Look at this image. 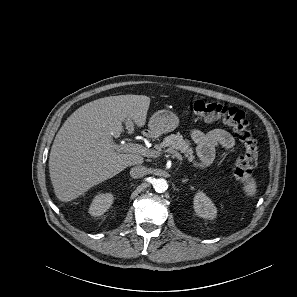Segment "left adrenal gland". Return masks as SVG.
Masks as SVG:
<instances>
[{"mask_svg":"<svg viewBox=\"0 0 297 297\" xmlns=\"http://www.w3.org/2000/svg\"><path fill=\"white\" fill-rule=\"evenodd\" d=\"M188 181V179H183L182 183H186Z\"/></svg>","mask_w":297,"mask_h":297,"instance_id":"a2214340","label":"left adrenal gland"}]
</instances>
